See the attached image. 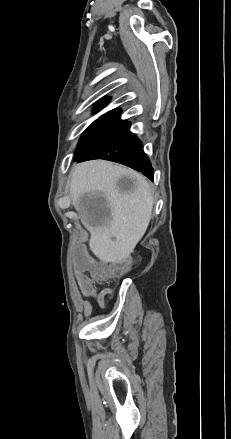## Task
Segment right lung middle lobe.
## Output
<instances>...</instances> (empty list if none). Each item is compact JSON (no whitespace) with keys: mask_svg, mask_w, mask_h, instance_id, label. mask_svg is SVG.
Here are the masks:
<instances>
[{"mask_svg":"<svg viewBox=\"0 0 231 439\" xmlns=\"http://www.w3.org/2000/svg\"><path fill=\"white\" fill-rule=\"evenodd\" d=\"M125 121L119 119L99 118L83 133L77 145L75 160L113 133Z\"/></svg>","mask_w":231,"mask_h":439,"instance_id":"obj_1","label":"right lung middle lobe"}]
</instances>
